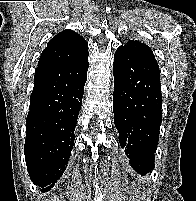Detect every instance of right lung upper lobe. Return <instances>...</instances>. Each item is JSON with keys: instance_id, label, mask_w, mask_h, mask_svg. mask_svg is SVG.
Returning a JSON list of instances; mask_svg holds the SVG:
<instances>
[{"instance_id": "obj_1", "label": "right lung upper lobe", "mask_w": 196, "mask_h": 201, "mask_svg": "<svg viewBox=\"0 0 196 201\" xmlns=\"http://www.w3.org/2000/svg\"><path fill=\"white\" fill-rule=\"evenodd\" d=\"M88 43L78 33L66 29L54 36L43 50L38 67L55 64L75 65L88 60Z\"/></svg>"}]
</instances>
